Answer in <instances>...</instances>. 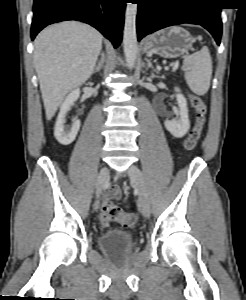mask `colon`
<instances>
[{"instance_id": "colon-1", "label": "colon", "mask_w": 246, "mask_h": 300, "mask_svg": "<svg viewBox=\"0 0 246 300\" xmlns=\"http://www.w3.org/2000/svg\"><path fill=\"white\" fill-rule=\"evenodd\" d=\"M190 102L196 111L195 124L184 141V148L193 151L202 136V131L206 123L207 107L203 99L195 94L190 95ZM103 215L110 221L119 223L126 227H131L136 223V216L132 213L123 211L119 206L111 203L109 199L104 200L102 205Z\"/></svg>"}]
</instances>
